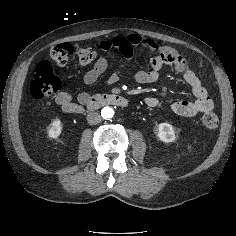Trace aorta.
<instances>
[{"mask_svg": "<svg viewBox=\"0 0 236 236\" xmlns=\"http://www.w3.org/2000/svg\"><path fill=\"white\" fill-rule=\"evenodd\" d=\"M101 115L104 119L112 118L114 115V110L111 107H104L101 110Z\"/></svg>", "mask_w": 236, "mask_h": 236, "instance_id": "1", "label": "aorta"}]
</instances>
